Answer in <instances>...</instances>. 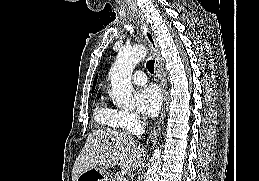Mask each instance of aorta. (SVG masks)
Listing matches in <instances>:
<instances>
[{"instance_id": "obj_1", "label": "aorta", "mask_w": 259, "mask_h": 181, "mask_svg": "<svg viewBox=\"0 0 259 181\" xmlns=\"http://www.w3.org/2000/svg\"><path fill=\"white\" fill-rule=\"evenodd\" d=\"M146 56V49L142 45L122 47L117 55L113 67L110 69L111 99L120 108L133 109V86L131 75L135 66ZM162 164V155L159 149L154 150L150 159L145 181H158Z\"/></svg>"}]
</instances>
